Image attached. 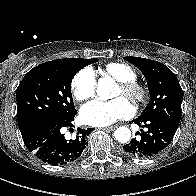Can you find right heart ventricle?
I'll use <instances>...</instances> for the list:
<instances>
[{
	"label": "right heart ventricle",
	"mask_w": 196,
	"mask_h": 196,
	"mask_svg": "<svg viewBox=\"0 0 196 196\" xmlns=\"http://www.w3.org/2000/svg\"><path fill=\"white\" fill-rule=\"evenodd\" d=\"M101 73L105 77H110L116 81L135 80L137 72L130 65L121 62H111L106 64Z\"/></svg>",
	"instance_id": "1"
}]
</instances>
